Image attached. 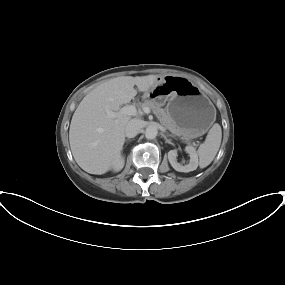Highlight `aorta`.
<instances>
[{"label":"aorta","mask_w":285,"mask_h":285,"mask_svg":"<svg viewBox=\"0 0 285 285\" xmlns=\"http://www.w3.org/2000/svg\"><path fill=\"white\" fill-rule=\"evenodd\" d=\"M158 134V129L155 125H149L145 130V137L147 139H154Z\"/></svg>","instance_id":"762f6f07"}]
</instances>
